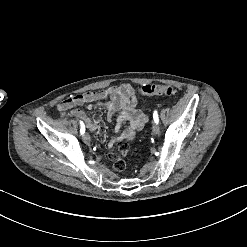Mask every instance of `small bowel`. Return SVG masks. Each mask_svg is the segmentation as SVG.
Here are the masks:
<instances>
[{"instance_id": "c3829d8e", "label": "small bowel", "mask_w": 247, "mask_h": 247, "mask_svg": "<svg viewBox=\"0 0 247 247\" xmlns=\"http://www.w3.org/2000/svg\"><path fill=\"white\" fill-rule=\"evenodd\" d=\"M95 103L107 110L109 120L115 124L114 135L108 144L109 148L115 147V151L108 150L105 158L113 161V166L118 173H123L126 165L121 154L131 149L130 141L134 139L136 132L146 125L148 117L143 110L137 108L135 89L128 83L113 85L104 90L72 95L60 101L57 110L61 116H74L82 120L89 130H94L99 125L98 120L89 119L77 107L93 106ZM123 126H125L124 129ZM101 128L105 130L103 126H99V130ZM95 141L98 144H105L108 136L105 133H98Z\"/></svg>"}]
</instances>
